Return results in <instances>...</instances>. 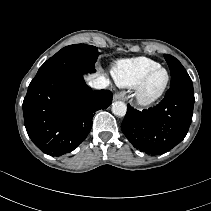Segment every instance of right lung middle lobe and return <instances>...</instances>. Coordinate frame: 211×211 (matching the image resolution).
<instances>
[{
    "label": "right lung middle lobe",
    "mask_w": 211,
    "mask_h": 211,
    "mask_svg": "<svg viewBox=\"0 0 211 211\" xmlns=\"http://www.w3.org/2000/svg\"><path fill=\"white\" fill-rule=\"evenodd\" d=\"M98 55L97 48L91 45L64 47L39 68L35 77L56 73H93Z\"/></svg>",
    "instance_id": "dd1d6c3e"
}]
</instances>
